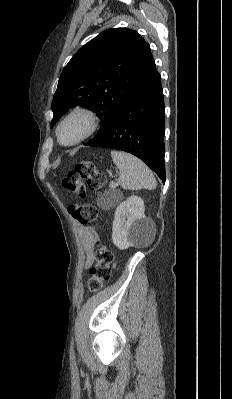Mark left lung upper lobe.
Wrapping results in <instances>:
<instances>
[{
	"label": "left lung upper lobe",
	"mask_w": 232,
	"mask_h": 399,
	"mask_svg": "<svg viewBox=\"0 0 232 399\" xmlns=\"http://www.w3.org/2000/svg\"><path fill=\"white\" fill-rule=\"evenodd\" d=\"M150 54L147 42L134 30L108 29L80 48L60 75L51 109V127L71 107L90 108L100 118L96 136L105 135L132 92Z\"/></svg>",
	"instance_id": "5c2ea615"
}]
</instances>
